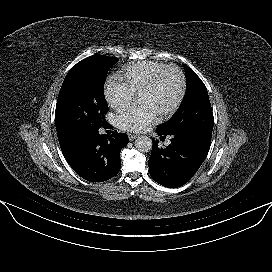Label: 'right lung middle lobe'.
I'll return each mask as SVG.
<instances>
[{"label": "right lung middle lobe", "instance_id": "right-lung-middle-lobe-1", "mask_svg": "<svg viewBox=\"0 0 272 272\" xmlns=\"http://www.w3.org/2000/svg\"><path fill=\"white\" fill-rule=\"evenodd\" d=\"M118 61L105 55H93L71 68L56 104L57 133L83 138L105 124L108 105L104 97V83L108 70Z\"/></svg>", "mask_w": 272, "mask_h": 272}]
</instances>
